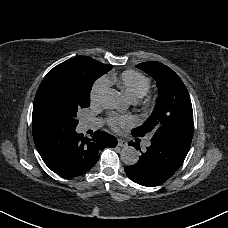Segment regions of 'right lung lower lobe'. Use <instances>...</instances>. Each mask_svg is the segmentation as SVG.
Segmentation results:
<instances>
[{"mask_svg": "<svg viewBox=\"0 0 228 228\" xmlns=\"http://www.w3.org/2000/svg\"><path fill=\"white\" fill-rule=\"evenodd\" d=\"M33 138L45 164L65 178L86 173L96 164L99 150L117 145V139L103 131L88 138L75 129L38 130Z\"/></svg>", "mask_w": 228, "mask_h": 228, "instance_id": "1", "label": "right lung lower lobe"}]
</instances>
